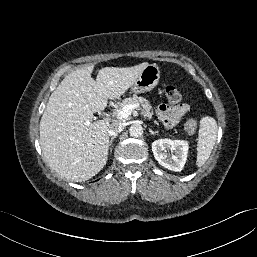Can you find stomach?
<instances>
[{
    "mask_svg": "<svg viewBox=\"0 0 257 257\" xmlns=\"http://www.w3.org/2000/svg\"><path fill=\"white\" fill-rule=\"evenodd\" d=\"M159 79L160 68L156 64H148L131 85V91L136 94L151 91L157 86Z\"/></svg>",
    "mask_w": 257,
    "mask_h": 257,
    "instance_id": "0dacf381",
    "label": "stomach"
}]
</instances>
